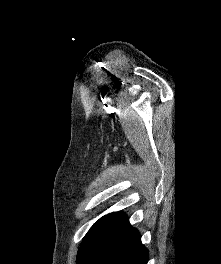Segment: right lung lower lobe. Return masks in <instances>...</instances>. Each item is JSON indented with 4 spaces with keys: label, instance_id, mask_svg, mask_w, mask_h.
Masks as SVG:
<instances>
[{
    "label": "right lung lower lobe",
    "instance_id": "1",
    "mask_svg": "<svg viewBox=\"0 0 221 264\" xmlns=\"http://www.w3.org/2000/svg\"><path fill=\"white\" fill-rule=\"evenodd\" d=\"M147 261L148 251L139 232L122 212L107 215L77 257L78 264H147Z\"/></svg>",
    "mask_w": 221,
    "mask_h": 264
}]
</instances>
